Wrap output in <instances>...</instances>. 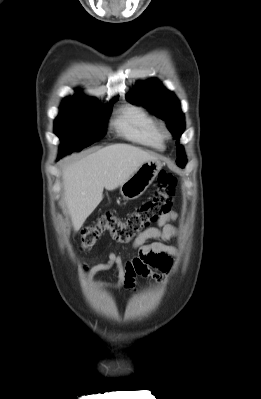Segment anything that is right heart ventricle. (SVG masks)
I'll list each match as a JSON object with an SVG mask.
<instances>
[{
  "label": "right heart ventricle",
  "instance_id": "obj_1",
  "mask_svg": "<svg viewBox=\"0 0 261 399\" xmlns=\"http://www.w3.org/2000/svg\"><path fill=\"white\" fill-rule=\"evenodd\" d=\"M117 133L125 139L153 149H163L164 143L157 121L145 109L129 105L114 120Z\"/></svg>",
  "mask_w": 261,
  "mask_h": 399
}]
</instances>
